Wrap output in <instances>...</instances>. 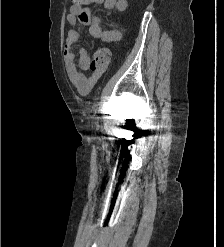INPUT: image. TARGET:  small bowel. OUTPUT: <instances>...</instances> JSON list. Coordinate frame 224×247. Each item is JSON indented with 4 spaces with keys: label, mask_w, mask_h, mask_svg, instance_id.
I'll use <instances>...</instances> for the list:
<instances>
[{
    "label": "small bowel",
    "mask_w": 224,
    "mask_h": 247,
    "mask_svg": "<svg viewBox=\"0 0 224 247\" xmlns=\"http://www.w3.org/2000/svg\"><path fill=\"white\" fill-rule=\"evenodd\" d=\"M80 7L71 5L66 19L69 24L76 26L68 32L64 44V57L66 70L70 82L81 95L88 94L97 84L103 72H93L89 76L84 71L90 69V57L83 49L77 47L76 43L81 37V30L88 26L89 34L102 41H117L121 38V30L113 25L110 29H104L99 17L92 14L88 5L91 3H103L105 9L110 12L122 13L127 9L126 0H84Z\"/></svg>",
    "instance_id": "c3829d8e"
}]
</instances>
